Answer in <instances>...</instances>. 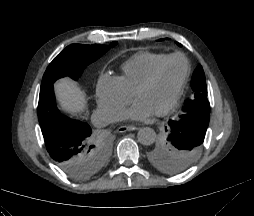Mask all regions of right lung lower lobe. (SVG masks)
<instances>
[{"instance_id": "98d812e1", "label": "right lung lower lobe", "mask_w": 254, "mask_h": 216, "mask_svg": "<svg viewBox=\"0 0 254 216\" xmlns=\"http://www.w3.org/2000/svg\"><path fill=\"white\" fill-rule=\"evenodd\" d=\"M38 119L46 149L55 163L68 175L77 178L80 173L73 170L79 164L85 180L98 172L94 152L97 147L95 133L90 126L64 116L55 103L53 85L40 90Z\"/></svg>"}]
</instances>
